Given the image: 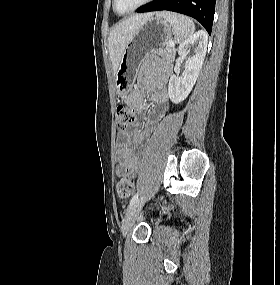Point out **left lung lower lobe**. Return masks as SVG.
<instances>
[{
    "instance_id": "1",
    "label": "left lung lower lobe",
    "mask_w": 280,
    "mask_h": 285,
    "mask_svg": "<svg viewBox=\"0 0 280 285\" xmlns=\"http://www.w3.org/2000/svg\"><path fill=\"white\" fill-rule=\"evenodd\" d=\"M216 0H153L136 12L169 10L191 16L211 34Z\"/></svg>"
}]
</instances>
